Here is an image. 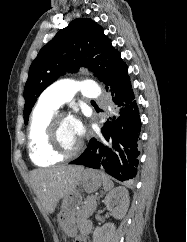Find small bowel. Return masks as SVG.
I'll list each match as a JSON object with an SVG mask.
<instances>
[{"instance_id":"c3829d8e","label":"small bowel","mask_w":187,"mask_h":242,"mask_svg":"<svg viewBox=\"0 0 187 242\" xmlns=\"http://www.w3.org/2000/svg\"><path fill=\"white\" fill-rule=\"evenodd\" d=\"M80 229V236L78 238V242H86V236L91 232L92 230V224L88 220H84L79 225Z\"/></svg>"}]
</instances>
